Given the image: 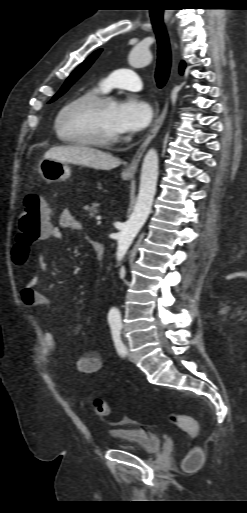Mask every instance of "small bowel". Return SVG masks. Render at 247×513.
<instances>
[{
  "instance_id": "obj_1",
  "label": "small bowel",
  "mask_w": 247,
  "mask_h": 513,
  "mask_svg": "<svg viewBox=\"0 0 247 513\" xmlns=\"http://www.w3.org/2000/svg\"><path fill=\"white\" fill-rule=\"evenodd\" d=\"M63 229L84 230V225L79 221L69 209L61 211L58 219V226H53L50 232L43 238L44 240H61L63 238ZM39 267L45 271V265L41 256L39 257ZM41 279L39 276L30 277L21 290L20 297L22 303L30 308H46L50 301L48 297L39 291ZM44 337V357L46 359L53 357L57 353L56 339L52 331L45 329ZM104 365L101 356L92 350L82 352L75 362L77 370L81 373L93 374L102 369Z\"/></svg>"
}]
</instances>
